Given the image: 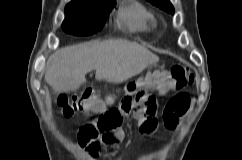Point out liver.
Here are the masks:
<instances>
[{"instance_id": "obj_1", "label": "liver", "mask_w": 242, "mask_h": 160, "mask_svg": "<svg viewBox=\"0 0 242 160\" xmlns=\"http://www.w3.org/2000/svg\"><path fill=\"white\" fill-rule=\"evenodd\" d=\"M159 58L145 47L122 39L87 42L62 48L47 61L45 81L56 93L72 92L86 82V74L120 83L155 65Z\"/></svg>"}]
</instances>
